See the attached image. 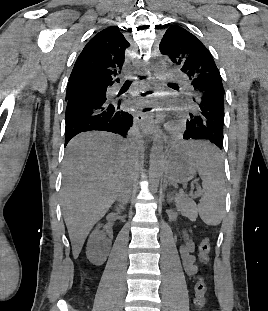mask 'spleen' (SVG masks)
Segmentation results:
<instances>
[{
    "label": "spleen",
    "mask_w": 268,
    "mask_h": 311,
    "mask_svg": "<svg viewBox=\"0 0 268 311\" xmlns=\"http://www.w3.org/2000/svg\"><path fill=\"white\" fill-rule=\"evenodd\" d=\"M191 155L202 179L203 197L198 211L203 222L210 226L221 223L225 209L224 172L221 150L218 144H207V140H186Z\"/></svg>",
    "instance_id": "spleen-1"
}]
</instances>
